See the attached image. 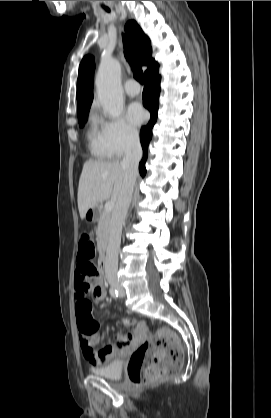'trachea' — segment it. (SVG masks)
Listing matches in <instances>:
<instances>
[{"label":"trachea","instance_id":"obj_1","mask_svg":"<svg viewBox=\"0 0 271 418\" xmlns=\"http://www.w3.org/2000/svg\"><path fill=\"white\" fill-rule=\"evenodd\" d=\"M107 12H109V10H107ZM123 45H124L125 57L132 68L134 78L138 82L143 84V71L140 68V66L136 63L135 58H134L133 46L126 37L123 38Z\"/></svg>","mask_w":271,"mask_h":418}]
</instances>
